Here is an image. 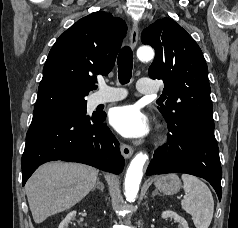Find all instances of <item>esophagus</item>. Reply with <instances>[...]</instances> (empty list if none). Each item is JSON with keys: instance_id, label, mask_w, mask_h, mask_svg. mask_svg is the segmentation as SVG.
Wrapping results in <instances>:
<instances>
[{"instance_id": "obj_1", "label": "esophagus", "mask_w": 238, "mask_h": 228, "mask_svg": "<svg viewBox=\"0 0 238 228\" xmlns=\"http://www.w3.org/2000/svg\"><path fill=\"white\" fill-rule=\"evenodd\" d=\"M138 35H139L138 23L134 22L133 25H132V29H131V32H130V38H129L130 39V46L133 49L137 45ZM120 149H121V152H122V154L125 158H130L133 155L134 149L131 146L127 145V144L121 143L120 144Z\"/></svg>"}]
</instances>
